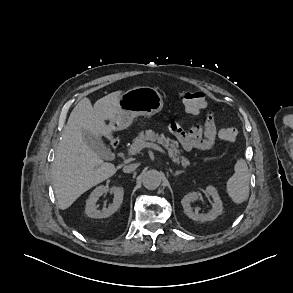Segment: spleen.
Listing matches in <instances>:
<instances>
[{
  "instance_id": "3e777b00",
  "label": "spleen",
  "mask_w": 293,
  "mask_h": 293,
  "mask_svg": "<svg viewBox=\"0 0 293 293\" xmlns=\"http://www.w3.org/2000/svg\"><path fill=\"white\" fill-rule=\"evenodd\" d=\"M235 173L227 181V193L236 204L246 201L249 196L250 175L244 159L237 160L234 166Z\"/></svg>"
}]
</instances>
